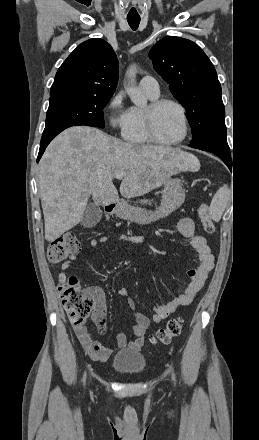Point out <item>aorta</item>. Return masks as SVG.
<instances>
[{
  "mask_svg": "<svg viewBox=\"0 0 259 440\" xmlns=\"http://www.w3.org/2000/svg\"><path fill=\"white\" fill-rule=\"evenodd\" d=\"M129 83L125 87V90L130 97L131 101L136 105L137 107H144L147 105V99L142 94L141 90L136 86V74H137V67L136 65H132L126 72Z\"/></svg>",
  "mask_w": 259,
  "mask_h": 440,
  "instance_id": "aorta-1",
  "label": "aorta"
}]
</instances>
